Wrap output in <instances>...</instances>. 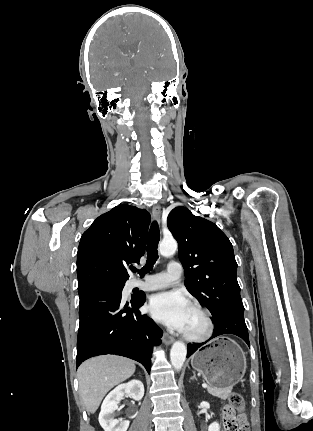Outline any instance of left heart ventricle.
<instances>
[{
	"label": "left heart ventricle",
	"instance_id": "1",
	"mask_svg": "<svg viewBox=\"0 0 313 431\" xmlns=\"http://www.w3.org/2000/svg\"><path fill=\"white\" fill-rule=\"evenodd\" d=\"M206 329L204 317L193 308H190L187 316L186 327L184 333L198 335L202 334Z\"/></svg>",
	"mask_w": 313,
	"mask_h": 431
}]
</instances>
